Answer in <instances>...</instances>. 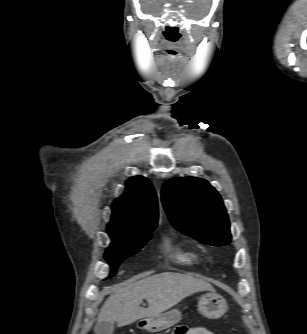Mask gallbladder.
I'll list each match as a JSON object with an SVG mask.
<instances>
[{
  "instance_id": "bac80fb5",
  "label": "gallbladder",
  "mask_w": 307,
  "mask_h": 334,
  "mask_svg": "<svg viewBox=\"0 0 307 334\" xmlns=\"http://www.w3.org/2000/svg\"><path fill=\"white\" fill-rule=\"evenodd\" d=\"M95 334H112L114 331V323L98 322L94 327Z\"/></svg>"
}]
</instances>
